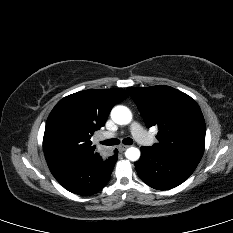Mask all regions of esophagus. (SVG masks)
Segmentation results:
<instances>
[{
  "mask_svg": "<svg viewBox=\"0 0 233 233\" xmlns=\"http://www.w3.org/2000/svg\"><path fill=\"white\" fill-rule=\"evenodd\" d=\"M129 146L128 145H119L118 146V150L120 151V152H123V151H125L127 148H128Z\"/></svg>",
  "mask_w": 233,
  "mask_h": 233,
  "instance_id": "1",
  "label": "esophagus"
}]
</instances>
